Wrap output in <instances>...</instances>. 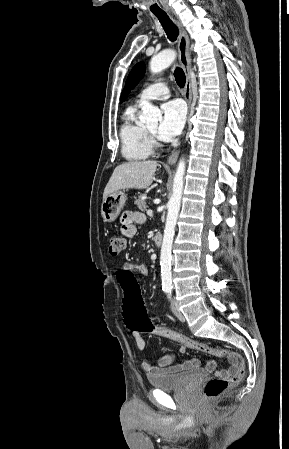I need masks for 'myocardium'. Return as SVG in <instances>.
Returning <instances> with one entry per match:
<instances>
[{"mask_svg": "<svg viewBox=\"0 0 289 449\" xmlns=\"http://www.w3.org/2000/svg\"><path fill=\"white\" fill-rule=\"evenodd\" d=\"M147 133H148V135H149L151 141L154 142V143H156V134L153 133V132L150 131V130H147Z\"/></svg>", "mask_w": 289, "mask_h": 449, "instance_id": "obj_1", "label": "myocardium"}]
</instances>
